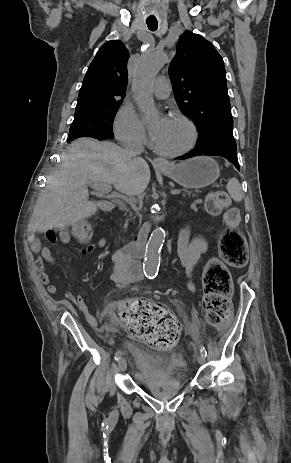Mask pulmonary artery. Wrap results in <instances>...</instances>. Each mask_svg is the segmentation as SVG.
Instances as JSON below:
<instances>
[{
  "mask_svg": "<svg viewBox=\"0 0 291 463\" xmlns=\"http://www.w3.org/2000/svg\"><path fill=\"white\" fill-rule=\"evenodd\" d=\"M171 91L170 80L166 76H160L156 79L152 93L158 99H165L169 96Z\"/></svg>",
  "mask_w": 291,
  "mask_h": 463,
  "instance_id": "1",
  "label": "pulmonary artery"
}]
</instances>
